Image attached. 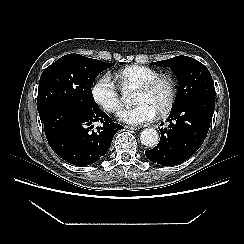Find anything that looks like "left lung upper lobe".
<instances>
[{
    "instance_id": "1",
    "label": "left lung upper lobe",
    "mask_w": 244,
    "mask_h": 244,
    "mask_svg": "<svg viewBox=\"0 0 244 244\" xmlns=\"http://www.w3.org/2000/svg\"><path fill=\"white\" fill-rule=\"evenodd\" d=\"M154 64L170 67L178 77L179 88L172 108L195 97L215 96L211 74L199 61L188 56H176Z\"/></svg>"
}]
</instances>
